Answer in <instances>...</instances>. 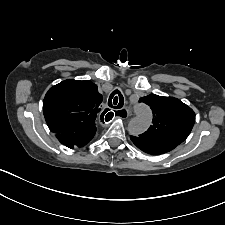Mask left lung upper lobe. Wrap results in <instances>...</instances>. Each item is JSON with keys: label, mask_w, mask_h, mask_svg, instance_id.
<instances>
[{"label": "left lung upper lobe", "mask_w": 225, "mask_h": 225, "mask_svg": "<svg viewBox=\"0 0 225 225\" xmlns=\"http://www.w3.org/2000/svg\"><path fill=\"white\" fill-rule=\"evenodd\" d=\"M150 106L152 125L138 137L160 143H182L195 123L194 111L179 99L151 94L140 98Z\"/></svg>", "instance_id": "obj_1"}]
</instances>
